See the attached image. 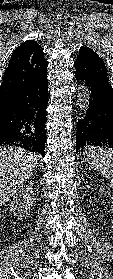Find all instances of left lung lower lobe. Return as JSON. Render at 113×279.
<instances>
[{
	"label": "left lung lower lobe",
	"instance_id": "left-lung-lower-lobe-1",
	"mask_svg": "<svg viewBox=\"0 0 113 279\" xmlns=\"http://www.w3.org/2000/svg\"><path fill=\"white\" fill-rule=\"evenodd\" d=\"M74 66L76 79L85 80L91 93L88 110L77 123L76 153L93 145L113 147V88L105 63L80 49Z\"/></svg>",
	"mask_w": 113,
	"mask_h": 279
}]
</instances>
